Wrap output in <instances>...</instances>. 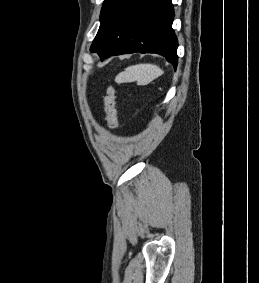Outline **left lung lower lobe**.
<instances>
[{"mask_svg": "<svg viewBox=\"0 0 259 283\" xmlns=\"http://www.w3.org/2000/svg\"><path fill=\"white\" fill-rule=\"evenodd\" d=\"M171 0H124L102 36L90 47L101 59L134 52L157 53L177 67L178 41Z\"/></svg>", "mask_w": 259, "mask_h": 283, "instance_id": "0a47b994", "label": "left lung lower lobe"}]
</instances>
